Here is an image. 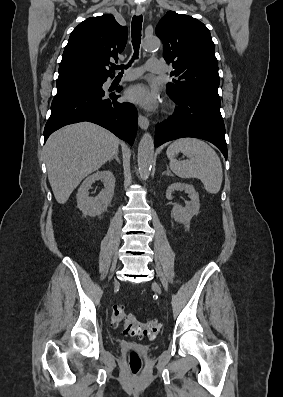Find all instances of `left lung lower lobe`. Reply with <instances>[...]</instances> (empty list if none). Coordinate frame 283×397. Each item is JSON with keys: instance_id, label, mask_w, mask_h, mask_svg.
Wrapping results in <instances>:
<instances>
[{"instance_id": "left-lung-lower-lobe-1", "label": "left lung lower lobe", "mask_w": 283, "mask_h": 397, "mask_svg": "<svg viewBox=\"0 0 283 397\" xmlns=\"http://www.w3.org/2000/svg\"><path fill=\"white\" fill-rule=\"evenodd\" d=\"M170 96V95H169ZM176 112L155 129V147L182 137H195L213 143L227 159L225 126L220 113V102L201 96L173 97Z\"/></svg>"}]
</instances>
